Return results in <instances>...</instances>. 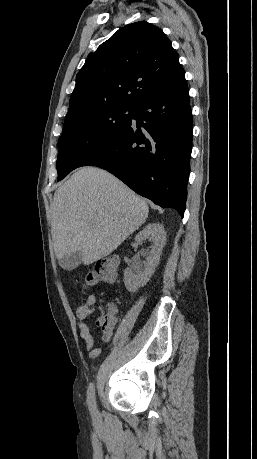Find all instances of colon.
<instances>
[{"mask_svg": "<svg viewBox=\"0 0 257 459\" xmlns=\"http://www.w3.org/2000/svg\"><path fill=\"white\" fill-rule=\"evenodd\" d=\"M117 259L105 257L97 261L84 275L86 286L95 285L100 282H111L116 277Z\"/></svg>", "mask_w": 257, "mask_h": 459, "instance_id": "colon-1", "label": "colon"}]
</instances>
